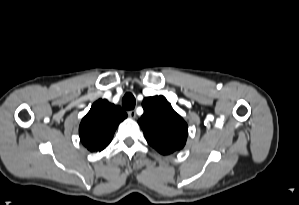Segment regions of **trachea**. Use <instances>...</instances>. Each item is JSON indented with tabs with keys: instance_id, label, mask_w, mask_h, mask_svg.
Segmentation results:
<instances>
[{
	"instance_id": "1",
	"label": "trachea",
	"mask_w": 299,
	"mask_h": 205,
	"mask_svg": "<svg viewBox=\"0 0 299 205\" xmlns=\"http://www.w3.org/2000/svg\"><path fill=\"white\" fill-rule=\"evenodd\" d=\"M135 97L132 93H126L122 99V106L125 110H132L135 107Z\"/></svg>"
}]
</instances>
